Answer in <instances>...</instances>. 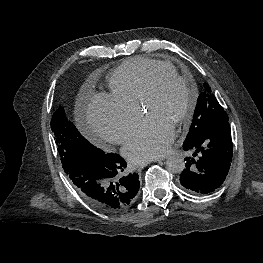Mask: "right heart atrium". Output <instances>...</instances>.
I'll return each instance as SVG.
<instances>
[{
    "mask_svg": "<svg viewBox=\"0 0 263 263\" xmlns=\"http://www.w3.org/2000/svg\"><path fill=\"white\" fill-rule=\"evenodd\" d=\"M140 119L139 110L108 93L95 95L87 104L86 123L100 143L126 141Z\"/></svg>",
    "mask_w": 263,
    "mask_h": 263,
    "instance_id": "right-heart-atrium-1",
    "label": "right heart atrium"
}]
</instances>
